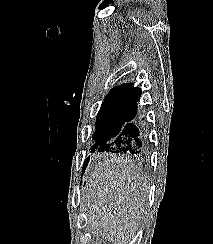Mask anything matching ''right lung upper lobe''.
Returning a JSON list of instances; mask_svg holds the SVG:
<instances>
[{
	"mask_svg": "<svg viewBox=\"0 0 213 244\" xmlns=\"http://www.w3.org/2000/svg\"><path fill=\"white\" fill-rule=\"evenodd\" d=\"M141 95V89L138 87H134L133 83L121 84L120 86H116L112 88L105 98L111 97H133L137 99Z\"/></svg>",
	"mask_w": 213,
	"mask_h": 244,
	"instance_id": "right-lung-upper-lobe-1",
	"label": "right lung upper lobe"
}]
</instances>
